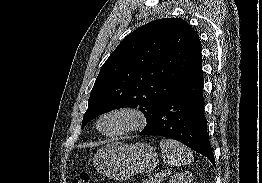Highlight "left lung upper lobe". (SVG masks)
<instances>
[{
    "mask_svg": "<svg viewBox=\"0 0 262 183\" xmlns=\"http://www.w3.org/2000/svg\"><path fill=\"white\" fill-rule=\"evenodd\" d=\"M200 57L198 35L183 19H158L136 29L101 67L82 128L96 116L120 107H139L147 128L161 103Z\"/></svg>",
    "mask_w": 262,
    "mask_h": 183,
    "instance_id": "1",
    "label": "left lung upper lobe"
}]
</instances>
